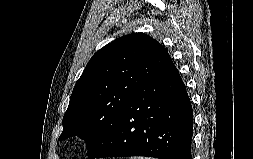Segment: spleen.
I'll use <instances>...</instances> for the list:
<instances>
[{
	"label": "spleen",
	"instance_id": "spleen-1",
	"mask_svg": "<svg viewBox=\"0 0 253 159\" xmlns=\"http://www.w3.org/2000/svg\"><path fill=\"white\" fill-rule=\"evenodd\" d=\"M130 159H154V158L142 157V156H134V157H131Z\"/></svg>",
	"mask_w": 253,
	"mask_h": 159
}]
</instances>
